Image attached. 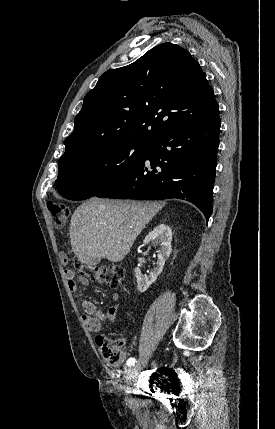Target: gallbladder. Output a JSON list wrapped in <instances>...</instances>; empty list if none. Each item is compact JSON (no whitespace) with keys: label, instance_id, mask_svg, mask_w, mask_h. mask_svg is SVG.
Wrapping results in <instances>:
<instances>
[{"label":"gallbladder","instance_id":"1","mask_svg":"<svg viewBox=\"0 0 275 429\" xmlns=\"http://www.w3.org/2000/svg\"><path fill=\"white\" fill-rule=\"evenodd\" d=\"M101 259H102L101 257L92 258L91 261L89 262V264L91 266L98 265L101 262Z\"/></svg>","mask_w":275,"mask_h":429}]
</instances>
